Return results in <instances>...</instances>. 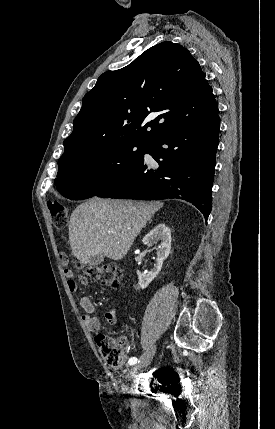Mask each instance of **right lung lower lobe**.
Returning a JSON list of instances; mask_svg holds the SVG:
<instances>
[{"label":"right lung lower lobe","instance_id":"1","mask_svg":"<svg viewBox=\"0 0 275 429\" xmlns=\"http://www.w3.org/2000/svg\"><path fill=\"white\" fill-rule=\"evenodd\" d=\"M220 121L218 113L153 138L145 153L158 166L143 160L96 196L105 198L161 200L183 199L208 219L211 211L215 155Z\"/></svg>","mask_w":275,"mask_h":429}]
</instances>
